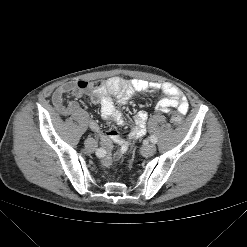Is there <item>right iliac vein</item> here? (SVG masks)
Listing matches in <instances>:
<instances>
[{"label": "right iliac vein", "instance_id": "obj_1", "mask_svg": "<svg viewBox=\"0 0 247 247\" xmlns=\"http://www.w3.org/2000/svg\"><path fill=\"white\" fill-rule=\"evenodd\" d=\"M85 148L88 150H94L96 148V142L92 138H88L85 140Z\"/></svg>", "mask_w": 247, "mask_h": 247}]
</instances>
